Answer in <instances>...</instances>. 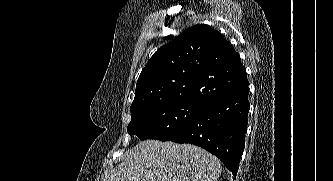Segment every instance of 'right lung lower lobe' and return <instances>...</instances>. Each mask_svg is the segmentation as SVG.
<instances>
[{"instance_id": "1", "label": "right lung lower lobe", "mask_w": 333, "mask_h": 181, "mask_svg": "<svg viewBox=\"0 0 333 181\" xmlns=\"http://www.w3.org/2000/svg\"><path fill=\"white\" fill-rule=\"evenodd\" d=\"M249 87L213 98L169 141L195 144L217 156L236 177L245 146Z\"/></svg>"}]
</instances>
